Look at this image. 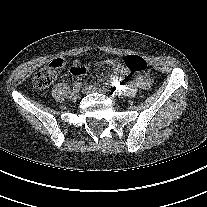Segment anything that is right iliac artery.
I'll return each mask as SVG.
<instances>
[{"label": "right iliac artery", "mask_w": 207, "mask_h": 207, "mask_svg": "<svg viewBox=\"0 0 207 207\" xmlns=\"http://www.w3.org/2000/svg\"><path fill=\"white\" fill-rule=\"evenodd\" d=\"M81 87H82L81 82H76L73 84V90H80Z\"/></svg>", "instance_id": "1"}]
</instances>
